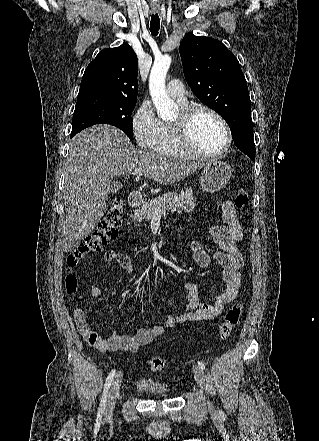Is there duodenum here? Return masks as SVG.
Listing matches in <instances>:
<instances>
[{
  "instance_id": "1",
  "label": "duodenum",
  "mask_w": 319,
  "mask_h": 441,
  "mask_svg": "<svg viewBox=\"0 0 319 441\" xmlns=\"http://www.w3.org/2000/svg\"><path fill=\"white\" fill-rule=\"evenodd\" d=\"M143 201V196L141 194V192L139 191H133L130 193V195L128 196V206L133 208L136 207L138 205H140Z\"/></svg>"
}]
</instances>
